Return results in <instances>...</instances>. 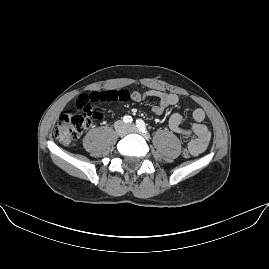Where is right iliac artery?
I'll return each mask as SVG.
<instances>
[{
	"label": "right iliac artery",
	"mask_w": 269,
	"mask_h": 269,
	"mask_svg": "<svg viewBox=\"0 0 269 269\" xmlns=\"http://www.w3.org/2000/svg\"><path fill=\"white\" fill-rule=\"evenodd\" d=\"M123 121L125 123H131L133 121L132 117L131 116H124L123 117Z\"/></svg>",
	"instance_id": "obj_1"
}]
</instances>
